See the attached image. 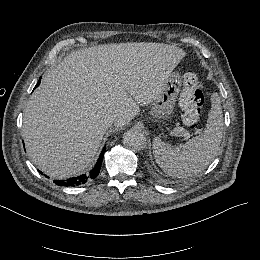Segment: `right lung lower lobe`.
Here are the masks:
<instances>
[{"instance_id":"98d812e1","label":"right lung lower lobe","mask_w":260,"mask_h":260,"mask_svg":"<svg viewBox=\"0 0 260 260\" xmlns=\"http://www.w3.org/2000/svg\"><path fill=\"white\" fill-rule=\"evenodd\" d=\"M39 83H40V81H39ZM39 83L37 84V86L39 85ZM104 151H105V148L101 152L95 167L88 174H83V175H80L77 177H72L67 180H54V183L58 186L77 187V186H82L87 181L96 178L100 172V168H101V164H102V160H103V156H104ZM39 172L42 174L41 171H39Z\"/></svg>"}]
</instances>
